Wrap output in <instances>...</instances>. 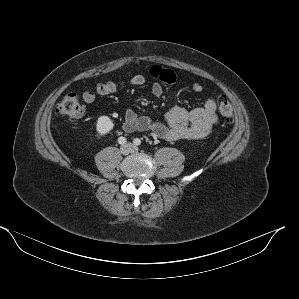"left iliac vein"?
Returning a JSON list of instances; mask_svg holds the SVG:
<instances>
[{
    "instance_id": "4c4485c4",
    "label": "left iliac vein",
    "mask_w": 299,
    "mask_h": 299,
    "mask_svg": "<svg viewBox=\"0 0 299 299\" xmlns=\"http://www.w3.org/2000/svg\"><path fill=\"white\" fill-rule=\"evenodd\" d=\"M130 148H131V152H137L138 151V147L133 146L132 144H127Z\"/></svg>"
}]
</instances>
